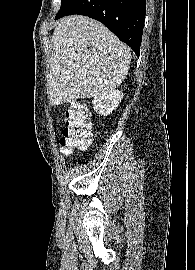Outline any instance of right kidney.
Masks as SVG:
<instances>
[{"label":"right kidney","instance_id":"right-kidney-1","mask_svg":"<svg viewBox=\"0 0 195 270\" xmlns=\"http://www.w3.org/2000/svg\"><path fill=\"white\" fill-rule=\"evenodd\" d=\"M123 99V93L119 90H112L107 93L95 96L92 101L96 113L108 116L115 110Z\"/></svg>","mask_w":195,"mask_h":270}]
</instances>
